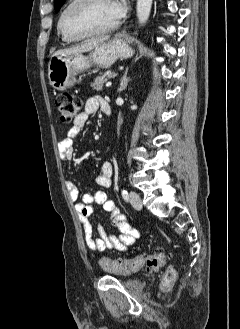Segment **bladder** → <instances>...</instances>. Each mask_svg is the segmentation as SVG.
I'll use <instances>...</instances> for the list:
<instances>
[{"instance_id": "1", "label": "bladder", "mask_w": 240, "mask_h": 329, "mask_svg": "<svg viewBox=\"0 0 240 329\" xmlns=\"http://www.w3.org/2000/svg\"><path fill=\"white\" fill-rule=\"evenodd\" d=\"M122 281L124 282V284L126 286L134 288L136 290H141L143 287L141 282L136 279L125 278V279H122Z\"/></svg>"}]
</instances>
